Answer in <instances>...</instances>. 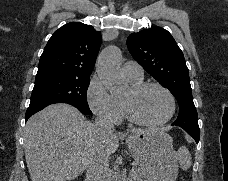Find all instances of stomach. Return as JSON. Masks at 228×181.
<instances>
[{"mask_svg": "<svg viewBox=\"0 0 228 181\" xmlns=\"http://www.w3.org/2000/svg\"><path fill=\"white\" fill-rule=\"evenodd\" d=\"M127 143L138 165L140 181H176L177 155L170 135L163 131L132 133Z\"/></svg>", "mask_w": 228, "mask_h": 181, "instance_id": "obj_1", "label": "stomach"}]
</instances>
